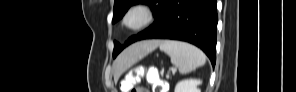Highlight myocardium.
Listing matches in <instances>:
<instances>
[{"label":"myocardium","instance_id":"myocardium-1","mask_svg":"<svg viewBox=\"0 0 296 92\" xmlns=\"http://www.w3.org/2000/svg\"><path fill=\"white\" fill-rule=\"evenodd\" d=\"M135 13H139L141 15V20L137 24L132 25L129 23V18ZM153 20H154V12L151 9V7L146 4L139 3L131 6L126 11L123 17V25L128 30L138 31L150 25Z\"/></svg>","mask_w":296,"mask_h":92}]
</instances>
